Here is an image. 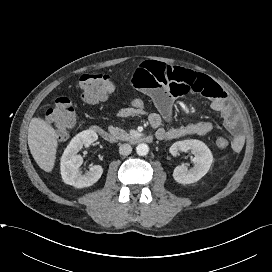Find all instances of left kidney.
Segmentation results:
<instances>
[{
  "label": "left kidney",
  "instance_id": "left-kidney-1",
  "mask_svg": "<svg viewBox=\"0 0 272 272\" xmlns=\"http://www.w3.org/2000/svg\"><path fill=\"white\" fill-rule=\"evenodd\" d=\"M180 151H191L194 154V167L190 170L184 165L174 169L173 178L180 184H191L200 180L209 171L213 162V155L205 143L196 139L175 142L170 147V153L176 156Z\"/></svg>",
  "mask_w": 272,
  "mask_h": 272
}]
</instances>
